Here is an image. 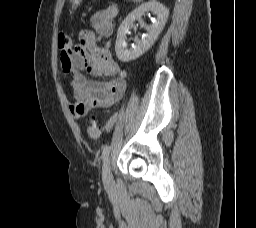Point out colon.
Returning a JSON list of instances; mask_svg holds the SVG:
<instances>
[{
    "label": "colon",
    "mask_w": 256,
    "mask_h": 228,
    "mask_svg": "<svg viewBox=\"0 0 256 228\" xmlns=\"http://www.w3.org/2000/svg\"><path fill=\"white\" fill-rule=\"evenodd\" d=\"M58 46L61 50L65 51L66 53L71 52L73 49V43L69 36L61 34L58 37ZM87 134L89 137L96 139L101 134V128L96 123L95 120H91L86 128Z\"/></svg>",
    "instance_id": "5ec220e1"
}]
</instances>
